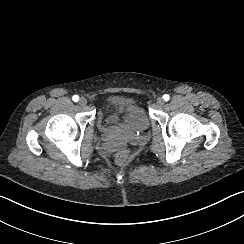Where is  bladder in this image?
Instances as JSON below:
<instances>
[{
  "mask_svg": "<svg viewBox=\"0 0 244 244\" xmlns=\"http://www.w3.org/2000/svg\"><path fill=\"white\" fill-rule=\"evenodd\" d=\"M120 101L122 102V115L118 125L115 127L116 130L124 131L127 133L139 134L144 132L150 127V120L146 113L137 103L132 101H126L122 99L113 98L105 100L101 104L99 117L101 121L105 118L107 109L110 102Z\"/></svg>",
  "mask_w": 244,
  "mask_h": 244,
  "instance_id": "bladder-1",
  "label": "bladder"
}]
</instances>
